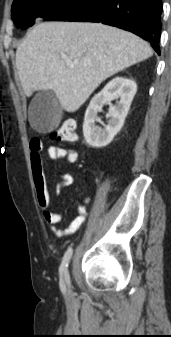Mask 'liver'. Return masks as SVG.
Here are the masks:
<instances>
[{"label":"liver","mask_w":171,"mask_h":337,"mask_svg":"<svg viewBox=\"0 0 171 337\" xmlns=\"http://www.w3.org/2000/svg\"><path fill=\"white\" fill-rule=\"evenodd\" d=\"M152 55L146 41L115 27L43 22L18 46L16 66L27 97L51 90L65 111L75 112L105 79Z\"/></svg>","instance_id":"6515ba94"}]
</instances>
